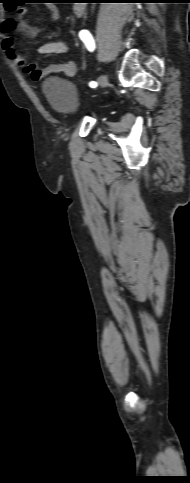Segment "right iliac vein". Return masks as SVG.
Wrapping results in <instances>:
<instances>
[{
	"label": "right iliac vein",
	"instance_id": "right-iliac-vein-1",
	"mask_svg": "<svg viewBox=\"0 0 190 483\" xmlns=\"http://www.w3.org/2000/svg\"><path fill=\"white\" fill-rule=\"evenodd\" d=\"M99 87H104L107 83V78L105 75H101L98 79Z\"/></svg>",
	"mask_w": 190,
	"mask_h": 483
}]
</instances>
